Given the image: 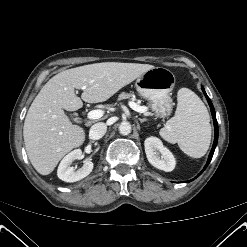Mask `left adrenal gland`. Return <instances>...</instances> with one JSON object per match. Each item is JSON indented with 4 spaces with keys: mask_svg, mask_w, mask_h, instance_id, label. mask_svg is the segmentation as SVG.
Returning <instances> with one entry per match:
<instances>
[{
    "mask_svg": "<svg viewBox=\"0 0 247 247\" xmlns=\"http://www.w3.org/2000/svg\"><path fill=\"white\" fill-rule=\"evenodd\" d=\"M139 119V121L141 122V123H143V122H146L147 121V119H145V118H138Z\"/></svg>",
    "mask_w": 247,
    "mask_h": 247,
    "instance_id": "obj_1",
    "label": "left adrenal gland"
}]
</instances>
